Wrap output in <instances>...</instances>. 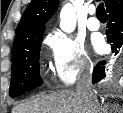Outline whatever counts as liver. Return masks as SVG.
<instances>
[{
  "mask_svg": "<svg viewBox=\"0 0 123 113\" xmlns=\"http://www.w3.org/2000/svg\"><path fill=\"white\" fill-rule=\"evenodd\" d=\"M88 111L87 104L76 91L60 90L33 97L17 106L13 113H88Z\"/></svg>",
  "mask_w": 123,
  "mask_h": 113,
  "instance_id": "liver-1",
  "label": "liver"
}]
</instances>
